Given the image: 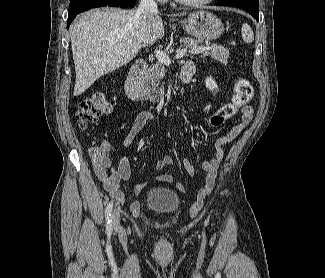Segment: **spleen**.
Masks as SVG:
<instances>
[{
    "instance_id": "spleen-1",
    "label": "spleen",
    "mask_w": 325,
    "mask_h": 278,
    "mask_svg": "<svg viewBox=\"0 0 325 278\" xmlns=\"http://www.w3.org/2000/svg\"><path fill=\"white\" fill-rule=\"evenodd\" d=\"M242 38L246 43H252L254 41L253 30L247 23L242 25Z\"/></svg>"
}]
</instances>
